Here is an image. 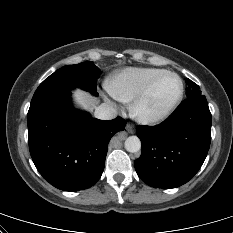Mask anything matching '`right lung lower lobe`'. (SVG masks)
Returning a JSON list of instances; mask_svg holds the SVG:
<instances>
[{
	"label": "right lung lower lobe",
	"instance_id": "98d812e1",
	"mask_svg": "<svg viewBox=\"0 0 233 233\" xmlns=\"http://www.w3.org/2000/svg\"><path fill=\"white\" fill-rule=\"evenodd\" d=\"M27 122L37 170L64 191L84 190L100 179L108 143L126 125L121 117L104 121L74 109L69 91L31 102Z\"/></svg>",
	"mask_w": 233,
	"mask_h": 233
}]
</instances>
